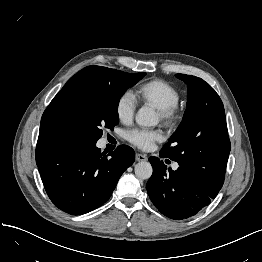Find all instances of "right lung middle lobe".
<instances>
[{"label":"right lung middle lobe","instance_id":"right-lung-middle-lobe-1","mask_svg":"<svg viewBox=\"0 0 262 262\" xmlns=\"http://www.w3.org/2000/svg\"><path fill=\"white\" fill-rule=\"evenodd\" d=\"M145 75L106 67L79 71L51 101L42 121L53 133L96 143L103 128L113 130L119 123L121 96Z\"/></svg>","mask_w":262,"mask_h":262}]
</instances>
